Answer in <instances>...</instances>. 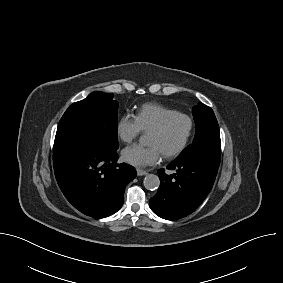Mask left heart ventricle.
<instances>
[{"label":"left heart ventricle","mask_w":283,"mask_h":283,"mask_svg":"<svg viewBox=\"0 0 283 283\" xmlns=\"http://www.w3.org/2000/svg\"><path fill=\"white\" fill-rule=\"evenodd\" d=\"M188 131V123L185 119L177 118L173 120L162 133L149 132L147 143L155 145L161 153L174 150L184 140Z\"/></svg>","instance_id":"left-heart-ventricle-1"}]
</instances>
